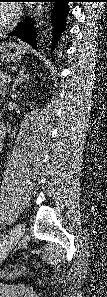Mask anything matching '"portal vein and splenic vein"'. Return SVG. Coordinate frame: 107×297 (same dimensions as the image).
<instances>
[{"mask_svg":"<svg viewBox=\"0 0 107 297\" xmlns=\"http://www.w3.org/2000/svg\"><path fill=\"white\" fill-rule=\"evenodd\" d=\"M4 81L5 82H10L11 81V76H7Z\"/></svg>","mask_w":107,"mask_h":297,"instance_id":"18ae733b","label":"portal vein and splenic vein"}]
</instances>
